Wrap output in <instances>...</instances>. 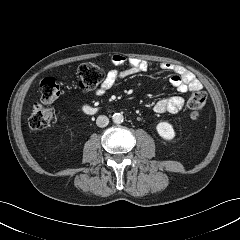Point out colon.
I'll list each match as a JSON object with an SVG mask.
<instances>
[{
  "instance_id": "obj_1",
  "label": "colon",
  "mask_w": 240,
  "mask_h": 240,
  "mask_svg": "<svg viewBox=\"0 0 240 240\" xmlns=\"http://www.w3.org/2000/svg\"><path fill=\"white\" fill-rule=\"evenodd\" d=\"M79 87L84 91H92L103 81L104 69L97 64H81L77 71ZM61 94V87L53 77H46L40 83L41 104H36L29 118L30 127L41 129L49 126L54 119L51 108L45 104L54 101ZM207 95L205 91L198 89L192 92L188 100L190 116L193 120H198L206 103Z\"/></svg>"
}]
</instances>
